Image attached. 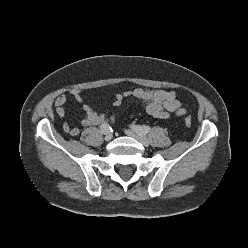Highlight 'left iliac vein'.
<instances>
[{
	"label": "left iliac vein",
	"instance_id": "1",
	"mask_svg": "<svg viewBox=\"0 0 248 248\" xmlns=\"http://www.w3.org/2000/svg\"><path fill=\"white\" fill-rule=\"evenodd\" d=\"M127 134L129 135V136H131V137H133V138H135V139H137L139 142H141L142 143V145L143 146H145V147H147V146H149V140L146 138V136L145 135H143V134H140V133H138V132H136V131H131V130H128L127 131Z\"/></svg>",
	"mask_w": 248,
	"mask_h": 248
}]
</instances>
